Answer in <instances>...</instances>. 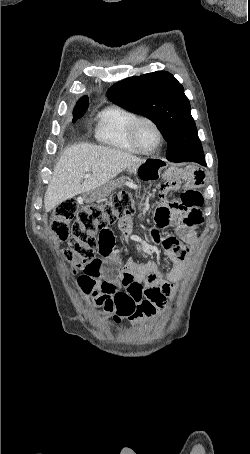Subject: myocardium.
<instances>
[{
    "instance_id": "1",
    "label": "myocardium",
    "mask_w": 250,
    "mask_h": 454,
    "mask_svg": "<svg viewBox=\"0 0 250 454\" xmlns=\"http://www.w3.org/2000/svg\"><path fill=\"white\" fill-rule=\"evenodd\" d=\"M141 123L150 124L157 133L158 142H157L156 146L151 150L144 149L138 140L137 129ZM129 136H130V140H131L132 144L143 154H153V153L157 152L163 143V133H162L160 126L157 124L156 121H154L152 118L147 117V116H137L132 121V123L130 125V129H129Z\"/></svg>"
}]
</instances>
